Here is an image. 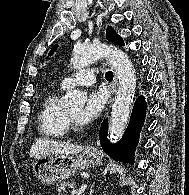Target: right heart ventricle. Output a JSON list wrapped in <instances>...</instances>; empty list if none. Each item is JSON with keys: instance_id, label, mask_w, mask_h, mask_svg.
<instances>
[{"instance_id": "1", "label": "right heart ventricle", "mask_w": 189, "mask_h": 195, "mask_svg": "<svg viewBox=\"0 0 189 195\" xmlns=\"http://www.w3.org/2000/svg\"><path fill=\"white\" fill-rule=\"evenodd\" d=\"M63 88L49 93L41 104L38 113V134L49 139H60L68 130L66 110L60 105L59 98Z\"/></svg>"}]
</instances>
